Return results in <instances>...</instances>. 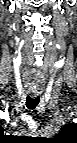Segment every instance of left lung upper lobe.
Instances as JSON below:
<instances>
[{"mask_svg":"<svg viewBox=\"0 0 77 143\" xmlns=\"http://www.w3.org/2000/svg\"><path fill=\"white\" fill-rule=\"evenodd\" d=\"M57 137L63 140H75L77 138V125L74 123L65 125Z\"/></svg>","mask_w":77,"mask_h":143,"instance_id":"5c2ea615","label":"left lung upper lobe"}]
</instances>
